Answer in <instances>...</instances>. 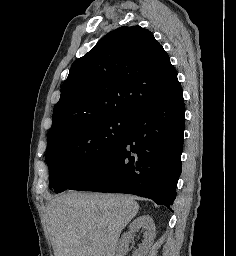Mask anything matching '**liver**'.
Here are the masks:
<instances>
[{"mask_svg":"<svg viewBox=\"0 0 236 256\" xmlns=\"http://www.w3.org/2000/svg\"><path fill=\"white\" fill-rule=\"evenodd\" d=\"M139 212L131 196L60 194L47 204L54 256H115L120 234Z\"/></svg>","mask_w":236,"mask_h":256,"instance_id":"obj_1","label":"liver"}]
</instances>
